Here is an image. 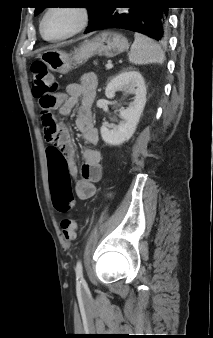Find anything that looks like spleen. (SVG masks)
<instances>
[{
    "mask_svg": "<svg viewBox=\"0 0 213 338\" xmlns=\"http://www.w3.org/2000/svg\"><path fill=\"white\" fill-rule=\"evenodd\" d=\"M129 53V61L135 65L160 64L165 60L161 47L149 37L135 33Z\"/></svg>",
    "mask_w": 213,
    "mask_h": 338,
    "instance_id": "3e777b00",
    "label": "spleen"
}]
</instances>
